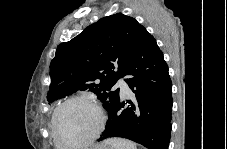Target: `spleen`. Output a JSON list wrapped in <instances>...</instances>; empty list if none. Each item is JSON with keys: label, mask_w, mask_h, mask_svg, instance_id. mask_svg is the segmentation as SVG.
<instances>
[{"label": "spleen", "mask_w": 227, "mask_h": 149, "mask_svg": "<svg viewBox=\"0 0 227 149\" xmlns=\"http://www.w3.org/2000/svg\"><path fill=\"white\" fill-rule=\"evenodd\" d=\"M106 143L111 147V149H137L132 141L123 138L108 139Z\"/></svg>", "instance_id": "1"}]
</instances>
